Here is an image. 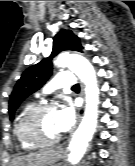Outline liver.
Returning <instances> with one entry per match:
<instances>
[{"instance_id":"6515ba94","label":"liver","mask_w":135,"mask_h":166,"mask_svg":"<svg viewBox=\"0 0 135 166\" xmlns=\"http://www.w3.org/2000/svg\"><path fill=\"white\" fill-rule=\"evenodd\" d=\"M50 150L32 152L26 156L18 157L12 162V166H32L36 160H43L48 157Z\"/></svg>"}]
</instances>
